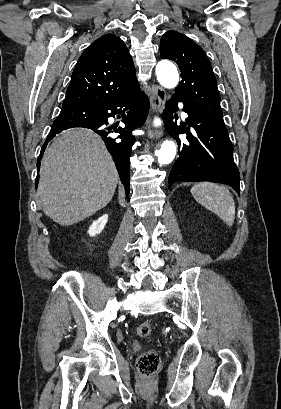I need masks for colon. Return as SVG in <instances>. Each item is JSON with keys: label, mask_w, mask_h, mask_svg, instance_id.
Returning a JSON list of instances; mask_svg holds the SVG:
<instances>
[{"label": "colon", "mask_w": 281, "mask_h": 409, "mask_svg": "<svg viewBox=\"0 0 281 409\" xmlns=\"http://www.w3.org/2000/svg\"><path fill=\"white\" fill-rule=\"evenodd\" d=\"M136 333L145 338L152 337V326L149 323H140L136 327ZM160 360L156 353L148 351L143 353L138 359V368L141 372L150 374L159 366Z\"/></svg>", "instance_id": "colon-1"}]
</instances>
